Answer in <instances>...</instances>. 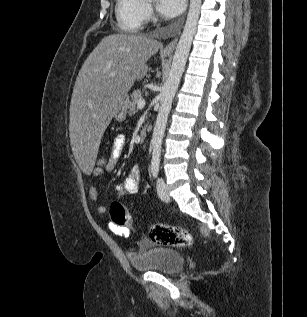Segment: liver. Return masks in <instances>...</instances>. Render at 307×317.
Returning a JSON list of instances; mask_svg holds the SVG:
<instances>
[{"label":"liver","instance_id":"liver-1","mask_svg":"<svg viewBox=\"0 0 307 317\" xmlns=\"http://www.w3.org/2000/svg\"><path fill=\"white\" fill-rule=\"evenodd\" d=\"M160 47L145 35L111 34L85 60L73 88L69 124L83 175H92L103 133L135 81L147 75V61Z\"/></svg>","mask_w":307,"mask_h":317}]
</instances>
